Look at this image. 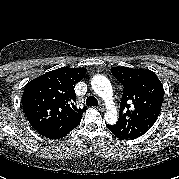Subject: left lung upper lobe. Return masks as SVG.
I'll use <instances>...</instances> for the list:
<instances>
[{
	"label": "left lung upper lobe",
	"mask_w": 179,
	"mask_h": 179,
	"mask_svg": "<svg viewBox=\"0 0 179 179\" xmlns=\"http://www.w3.org/2000/svg\"><path fill=\"white\" fill-rule=\"evenodd\" d=\"M111 73L123 85L119 119L107 125L122 139H135L155 123L163 102L164 89L156 74L149 69L112 67Z\"/></svg>",
	"instance_id": "5c2ea615"
}]
</instances>
